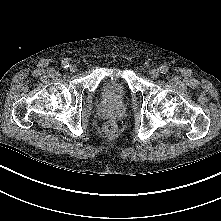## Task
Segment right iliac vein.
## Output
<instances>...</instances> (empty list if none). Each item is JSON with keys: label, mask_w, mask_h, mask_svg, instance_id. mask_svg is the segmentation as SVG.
<instances>
[{"label": "right iliac vein", "mask_w": 221, "mask_h": 221, "mask_svg": "<svg viewBox=\"0 0 221 221\" xmlns=\"http://www.w3.org/2000/svg\"><path fill=\"white\" fill-rule=\"evenodd\" d=\"M77 70V66L75 65V64H71L70 66H69V71L70 72H75Z\"/></svg>", "instance_id": "1"}]
</instances>
